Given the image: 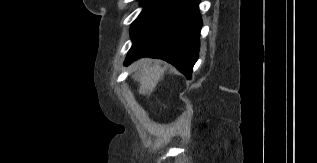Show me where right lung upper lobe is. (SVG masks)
Masks as SVG:
<instances>
[{
    "mask_svg": "<svg viewBox=\"0 0 317 163\" xmlns=\"http://www.w3.org/2000/svg\"><path fill=\"white\" fill-rule=\"evenodd\" d=\"M168 1H174V2H177V1H179V0H168Z\"/></svg>",
    "mask_w": 317,
    "mask_h": 163,
    "instance_id": "right-lung-upper-lobe-1",
    "label": "right lung upper lobe"
}]
</instances>
